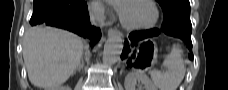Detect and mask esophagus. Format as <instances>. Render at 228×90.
<instances>
[{
  "label": "esophagus",
  "mask_w": 228,
  "mask_h": 90,
  "mask_svg": "<svg viewBox=\"0 0 228 90\" xmlns=\"http://www.w3.org/2000/svg\"><path fill=\"white\" fill-rule=\"evenodd\" d=\"M108 35L109 36H122L121 32L116 30V29H113V28H110L108 30Z\"/></svg>",
  "instance_id": "obj_1"
}]
</instances>
